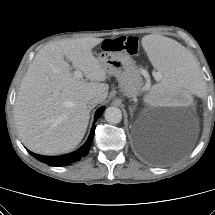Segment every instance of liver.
Returning a JSON list of instances; mask_svg holds the SVG:
<instances>
[{
	"label": "liver",
	"instance_id": "liver-1",
	"mask_svg": "<svg viewBox=\"0 0 215 215\" xmlns=\"http://www.w3.org/2000/svg\"><path fill=\"white\" fill-rule=\"evenodd\" d=\"M101 38L64 39L38 51L23 77L14 106L22 143L42 155L72 151L83 139L91 109L87 102L105 101L107 72L92 49ZM64 57L84 73L77 78Z\"/></svg>",
	"mask_w": 215,
	"mask_h": 215
}]
</instances>
